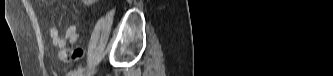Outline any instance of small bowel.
Returning <instances> with one entry per match:
<instances>
[{"label": "small bowel", "mask_w": 333, "mask_h": 76, "mask_svg": "<svg viewBox=\"0 0 333 76\" xmlns=\"http://www.w3.org/2000/svg\"><path fill=\"white\" fill-rule=\"evenodd\" d=\"M79 38L76 24L69 25L62 36L56 27L50 28V39L53 46L62 49L67 44H74Z\"/></svg>", "instance_id": "c3829d8e"}]
</instances>
